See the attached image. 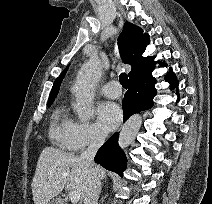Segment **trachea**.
Masks as SVG:
<instances>
[{
    "label": "trachea",
    "mask_w": 212,
    "mask_h": 204,
    "mask_svg": "<svg viewBox=\"0 0 212 204\" xmlns=\"http://www.w3.org/2000/svg\"><path fill=\"white\" fill-rule=\"evenodd\" d=\"M119 81L120 84L124 87L127 88L128 87V76L126 73H121L119 76Z\"/></svg>",
    "instance_id": "trachea-1"
}]
</instances>
